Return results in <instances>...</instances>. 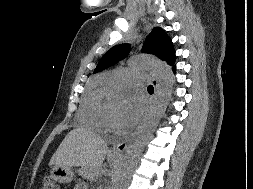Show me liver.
Segmentation results:
<instances>
[{
  "instance_id": "1",
  "label": "liver",
  "mask_w": 253,
  "mask_h": 189,
  "mask_svg": "<svg viewBox=\"0 0 253 189\" xmlns=\"http://www.w3.org/2000/svg\"><path fill=\"white\" fill-rule=\"evenodd\" d=\"M108 153L99 135L85 128H75L61 142L49 165L81 167L82 174L93 181L101 175V166Z\"/></svg>"
}]
</instances>
